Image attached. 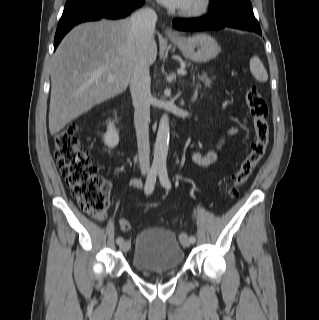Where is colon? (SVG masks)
Wrapping results in <instances>:
<instances>
[{
	"instance_id": "1",
	"label": "colon",
	"mask_w": 319,
	"mask_h": 320,
	"mask_svg": "<svg viewBox=\"0 0 319 320\" xmlns=\"http://www.w3.org/2000/svg\"><path fill=\"white\" fill-rule=\"evenodd\" d=\"M245 101L253 126L250 150L231 176L225 197L234 199L238 189L250 177L265 155L269 144L268 106L261 92L250 86L245 92ZM78 126L70 124L59 131L54 139L58 168L73 197L80 207L97 219H104L109 206V185L98 173L97 167L81 147L77 138ZM120 228L130 231L131 224L121 220Z\"/></svg>"
}]
</instances>
